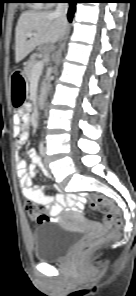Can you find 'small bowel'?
I'll return each mask as SVG.
<instances>
[{
    "label": "small bowel",
    "instance_id": "obj_1",
    "mask_svg": "<svg viewBox=\"0 0 136 296\" xmlns=\"http://www.w3.org/2000/svg\"><path fill=\"white\" fill-rule=\"evenodd\" d=\"M30 109V105H25L13 116L14 123L21 129V132L17 137L18 146L25 144L29 138L28 113ZM29 154L34 163L32 166H28L27 161L23 156H16V169L22 196L26 200L43 206L45 208V216L49 222L57 221L59 215L65 208L79 212L84 202L83 197H77L72 194H53L38 185H34L35 166L41 170L45 177L50 178L51 175L41 164L40 156L36 151H30Z\"/></svg>",
    "mask_w": 136,
    "mask_h": 296
}]
</instances>
